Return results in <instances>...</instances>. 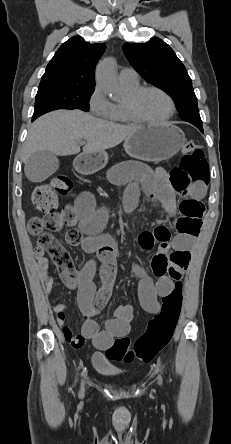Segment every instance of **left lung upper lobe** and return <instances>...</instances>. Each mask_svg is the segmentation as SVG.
Here are the masks:
<instances>
[{
  "label": "left lung upper lobe",
  "instance_id": "obj_1",
  "mask_svg": "<svg viewBox=\"0 0 231 444\" xmlns=\"http://www.w3.org/2000/svg\"><path fill=\"white\" fill-rule=\"evenodd\" d=\"M123 50L134 69L149 83L168 93L181 117L202 126L197 98L183 63L160 38L146 43H126Z\"/></svg>",
  "mask_w": 231,
  "mask_h": 444
}]
</instances>
